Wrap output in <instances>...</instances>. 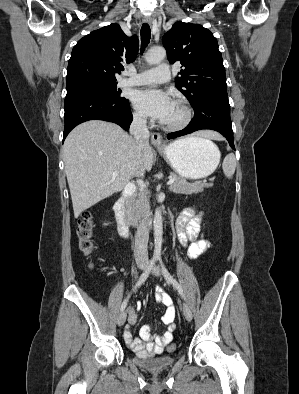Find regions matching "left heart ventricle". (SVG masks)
<instances>
[{
	"label": "left heart ventricle",
	"mask_w": 299,
	"mask_h": 394,
	"mask_svg": "<svg viewBox=\"0 0 299 394\" xmlns=\"http://www.w3.org/2000/svg\"><path fill=\"white\" fill-rule=\"evenodd\" d=\"M182 116H183V112H182L181 107L179 105H177L176 103H174L169 115L164 120V122L174 123V122L179 121L182 118Z\"/></svg>",
	"instance_id": "obj_1"
}]
</instances>
